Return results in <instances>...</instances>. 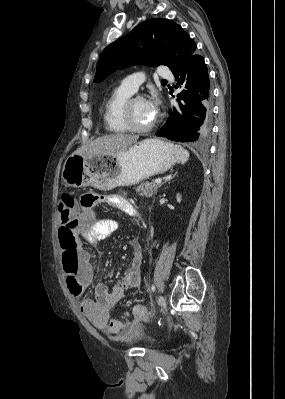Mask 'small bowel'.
Segmentation results:
<instances>
[{"label": "small bowel", "mask_w": 285, "mask_h": 399, "mask_svg": "<svg viewBox=\"0 0 285 399\" xmlns=\"http://www.w3.org/2000/svg\"><path fill=\"white\" fill-rule=\"evenodd\" d=\"M98 197L99 200L97 204L117 206L136 220H139L142 216V213L135 203L126 194L118 196L99 194ZM93 207L94 206L86 207L81 205V209L85 212H90ZM61 214V210L59 209L58 218L60 222ZM119 227L120 224L118 221L107 218L96 219L87 224L81 219L79 211L77 209H72L67 213V226L61 227L58 233L59 246L62 254L72 248H75L79 252L82 293L74 296L78 299L81 313L98 329L106 330L115 335L122 334L125 327L112 325V320L109 317V310L123 298L128 290L140 285L142 279L141 266L144 260L142 247L138 239L134 238L130 240L133 257L128 272L123 275L111 290L102 283L96 284L94 288V299H90L85 296V293L88 291L93 281L91 254L79 245V240L81 237H86L92 243H97L117 232Z\"/></svg>", "instance_id": "c3829d8e"}]
</instances>
